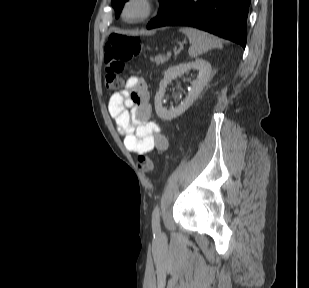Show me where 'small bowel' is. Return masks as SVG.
<instances>
[{
	"label": "small bowel",
	"instance_id": "obj_1",
	"mask_svg": "<svg viewBox=\"0 0 309 288\" xmlns=\"http://www.w3.org/2000/svg\"><path fill=\"white\" fill-rule=\"evenodd\" d=\"M108 110L127 151L146 154L153 150L165 151L168 140L159 125L151 120L152 108L144 80L131 77L125 89L113 93Z\"/></svg>",
	"mask_w": 309,
	"mask_h": 288
}]
</instances>
